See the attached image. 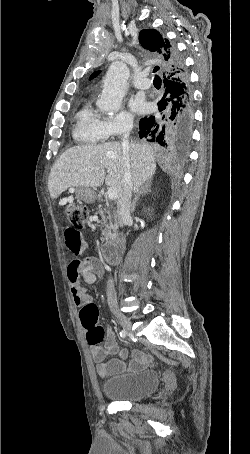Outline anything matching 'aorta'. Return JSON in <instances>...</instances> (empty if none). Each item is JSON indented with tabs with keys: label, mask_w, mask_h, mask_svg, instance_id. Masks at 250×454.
Here are the masks:
<instances>
[{
	"label": "aorta",
	"mask_w": 250,
	"mask_h": 454,
	"mask_svg": "<svg viewBox=\"0 0 250 454\" xmlns=\"http://www.w3.org/2000/svg\"><path fill=\"white\" fill-rule=\"evenodd\" d=\"M130 72L125 63L114 62L108 68L103 81V91L97 101L99 109L109 115L116 113L127 92Z\"/></svg>",
	"instance_id": "aorta-1"
}]
</instances>
